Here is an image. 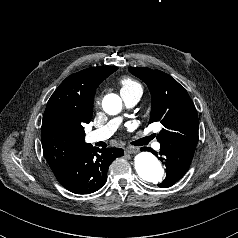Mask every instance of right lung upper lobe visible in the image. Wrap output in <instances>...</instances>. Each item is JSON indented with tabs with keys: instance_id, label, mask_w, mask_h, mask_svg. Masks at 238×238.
Returning a JSON list of instances; mask_svg holds the SVG:
<instances>
[{
	"instance_id": "obj_1",
	"label": "right lung upper lobe",
	"mask_w": 238,
	"mask_h": 238,
	"mask_svg": "<svg viewBox=\"0 0 238 238\" xmlns=\"http://www.w3.org/2000/svg\"><path fill=\"white\" fill-rule=\"evenodd\" d=\"M117 67H91L67 77L50 97L41 127L44 156L53 173L92 146L84 142V124L93 113L96 88Z\"/></svg>"
}]
</instances>
